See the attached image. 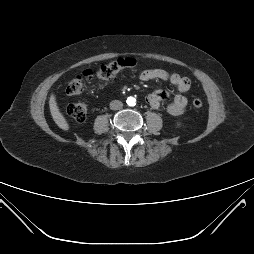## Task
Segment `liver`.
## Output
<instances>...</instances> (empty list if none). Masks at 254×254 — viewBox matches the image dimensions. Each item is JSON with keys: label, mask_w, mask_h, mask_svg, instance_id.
I'll list each match as a JSON object with an SVG mask.
<instances>
[{"label": "liver", "mask_w": 254, "mask_h": 254, "mask_svg": "<svg viewBox=\"0 0 254 254\" xmlns=\"http://www.w3.org/2000/svg\"><path fill=\"white\" fill-rule=\"evenodd\" d=\"M49 108H50L52 118H53L54 122L57 124V126L59 128H61L62 130H65V131L68 130L69 125H68L65 117L60 112L57 102H56L55 95L53 93L51 94L50 99H49Z\"/></svg>", "instance_id": "1"}]
</instances>
